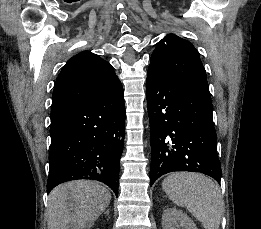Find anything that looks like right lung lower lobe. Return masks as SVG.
I'll list each match as a JSON object with an SVG mask.
<instances>
[{"mask_svg": "<svg viewBox=\"0 0 261 229\" xmlns=\"http://www.w3.org/2000/svg\"><path fill=\"white\" fill-rule=\"evenodd\" d=\"M47 192L78 179L97 180L118 196L125 105L118 78L51 121Z\"/></svg>", "mask_w": 261, "mask_h": 229, "instance_id": "right-lung-lower-lobe-1", "label": "right lung lower lobe"}]
</instances>
